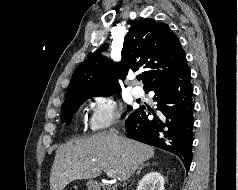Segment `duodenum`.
Returning a JSON list of instances; mask_svg holds the SVG:
<instances>
[{
  "mask_svg": "<svg viewBox=\"0 0 238 190\" xmlns=\"http://www.w3.org/2000/svg\"><path fill=\"white\" fill-rule=\"evenodd\" d=\"M97 190H115L113 187L107 184H100L97 187Z\"/></svg>",
  "mask_w": 238,
  "mask_h": 190,
  "instance_id": "1",
  "label": "duodenum"
}]
</instances>
